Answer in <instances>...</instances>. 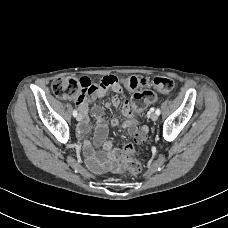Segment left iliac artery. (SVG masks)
I'll list each match as a JSON object with an SVG mask.
<instances>
[{"mask_svg": "<svg viewBox=\"0 0 228 228\" xmlns=\"http://www.w3.org/2000/svg\"><path fill=\"white\" fill-rule=\"evenodd\" d=\"M155 113H156L157 115H160V113H161L160 109L157 108L156 111H155Z\"/></svg>", "mask_w": 228, "mask_h": 228, "instance_id": "left-iliac-artery-1", "label": "left iliac artery"}]
</instances>
